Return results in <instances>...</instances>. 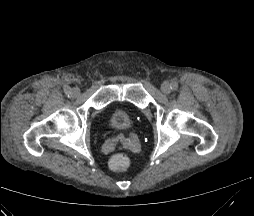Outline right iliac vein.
Listing matches in <instances>:
<instances>
[{
    "instance_id": "63e3f726",
    "label": "right iliac vein",
    "mask_w": 254,
    "mask_h": 216,
    "mask_svg": "<svg viewBox=\"0 0 254 216\" xmlns=\"http://www.w3.org/2000/svg\"><path fill=\"white\" fill-rule=\"evenodd\" d=\"M80 94L79 88L75 87L71 90L72 97H77Z\"/></svg>"
}]
</instances>
